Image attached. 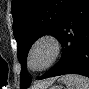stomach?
<instances>
[{"label": "stomach", "instance_id": "obj_1", "mask_svg": "<svg viewBox=\"0 0 89 89\" xmlns=\"http://www.w3.org/2000/svg\"><path fill=\"white\" fill-rule=\"evenodd\" d=\"M50 89H64V88L61 85H56V86L51 87Z\"/></svg>", "mask_w": 89, "mask_h": 89}]
</instances>
